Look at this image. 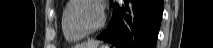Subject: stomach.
Returning a JSON list of instances; mask_svg holds the SVG:
<instances>
[{"mask_svg": "<svg viewBox=\"0 0 213 48\" xmlns=\"http://www.w3.org/2000/svg\"><path fill=\"white\" fill-rule=\"evenodd\" d=\"M96 48H108V46H107V45H99V46L96 47Z\"/></svg>", "mask_w": 213, "mask_h": 48, "instance_id": "1", "label": "stomach"}]
</instances>
